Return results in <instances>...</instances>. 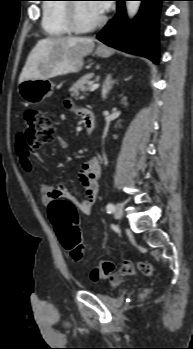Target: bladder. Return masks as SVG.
Returning <instances> with one entry per match:
<instances>
[{"instance_id": "1", "label": "bladder", "mask_w": 193, "mask_h": 349, "mask_svg": "<svg viewBox=\"0 0 193 349\" xmlns=\"http://www.w3.org/2000/svg\"><path fill=\"white\" fill-rule=\"evenodd\" d=\"M109 297V294H99L100 299H107Z\"/></svg>"}]
</instances>
